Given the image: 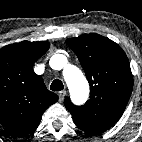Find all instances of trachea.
<instances>
[{
  "label": "trachea",
  "mask_w": 142,
  "mask_h": 142,
  "mask_svg": "<svg viewBox=\"0 0 142 142\" xmlns=\"http://www.w3.org/2000/svg\"><path fill=\"white\" fill-rule=\"evenodd\" d=\"M63 88H64L63 83L60 80H58V79H55L52 82V84L50 85V89L52 91H61V90H63Z\"/></svg>",
  "instance_id": "3493384b"
}]
</instances>
